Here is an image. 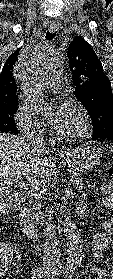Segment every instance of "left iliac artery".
Listing matches in <instances>:
<instances>
[{
    "label": "left iliac artery",
    "instance_id": "1",
    "mask_svg": "<svg viewBox=\"0 0 113 279\" xmlns=\"http://www.w3.org/2000/svg\"><path fill=\"white\" fill-rule=\"evenodd\" d=\"M71 277H72L71 273L68 272V273L66 274V278H67V279H71Z\"/></svg>",
    "mask_w": 113,
    "mask_h": 279
}]
</instances>
